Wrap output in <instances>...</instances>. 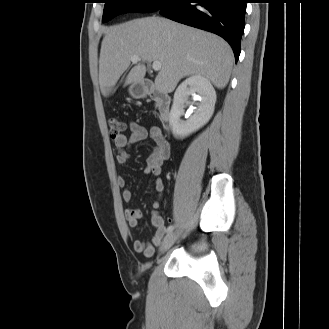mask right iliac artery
Here are the masks:
<instances>
[{
    "instance_id": "82829eb1",
    "label": "right iliac artery",
    "mask_w": 329,
    "mask_h": 329,
    "mask_svg": "<svg viewBox=\"0 0 329 329\" xmlns=\"http://www.w3.org/2000/svg\"><path fill=\"white\" fill-rule=\"evenodd\" d=\"M175 228V225H170L167 229L166 232L169 234L173 231V229Z\"/></svg>"
}]
</instances>
